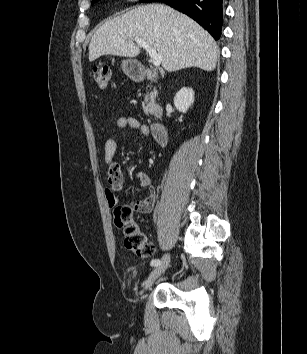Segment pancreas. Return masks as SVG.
I'll list each match as a JSON object with an SVG mask.
<instances>
[{
    "label": "pancreas",
    "instance_id": "cf45deb5",
    "mask_svg": "<svg viewBox=\"0 0 307 354\" xmlns=\"http://www.w3.org/2000/svg\"><path fill=\"white\" fill-rule=\"evenodd\" d=\"M157 96V91L154 89L153 91H151L150 93L148 92L145 95V99L143 102V109L145 114H149L151 112H153L154 108H155V98Z\"/></svg>",
    "mask_w": 307,
    "mask_h": 354
}]
</instances>
